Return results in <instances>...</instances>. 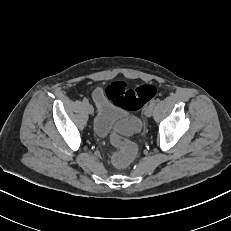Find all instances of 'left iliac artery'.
<instances>
[{
	"mask_svg": "<svg viewBox=\"0 0 231 231\" xmlns=\"http://www.w3.org/2000/svg\"><path fill=\"white\" fill-rule=\"evenodd\" d=\"M156 102H157V100H155V99L151 100V104H152V105H155Z\"/></svg>",
	"mask_w": 231,
	"mask_h": 231,
	"instance_id": "left-iliac-artery-1",
	"label": "left iliac artery"
}]
</instances>
